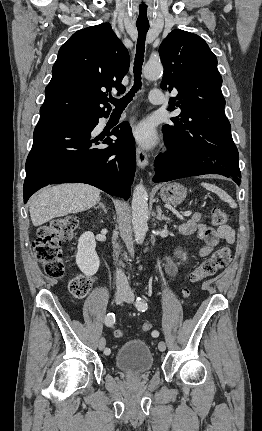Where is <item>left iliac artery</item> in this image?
I'll use <instances>...</instances> for the list:
<instances>
[{"mask_svg": "<svg viewBox=\"0 0 262 431\" xmlns=\"http://www.w3.org/2000/svg\"><path fill=\"white\" fill-rule=\"evenodd\" d=\"M136 307H137V309L139 310V311H142V312H145V310H147V303H146V301L143 299V298H141V297H137V300H136ZM154 336H159V332L158 331H154L153 333H152Z\"/></svg>", "mask_w": 262, "mask_h": 431, "instance_id": "obj_1", "label": "left iliac artery"}]
</instances>
